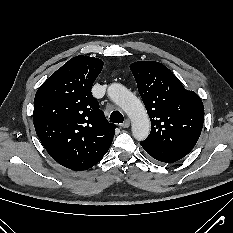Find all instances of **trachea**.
I'll return each instance as SVG.
<instances>
[{
    "instance_id": "trachea-1",
    "label": "trachea",
    "mask_w": 233,
    "mask_h": 233,
    "mask_svg": "<svg viewBox=\"0 0 233 233\" xmlns=\"http://www.w3.org/2000/svg\"><path fill=\"white\" fill-rule=\"evenodd\" d=\"M110 121L113 123H123L124 117L119 111H113L110 115Z\"/></svg>"
}]
</instances>
